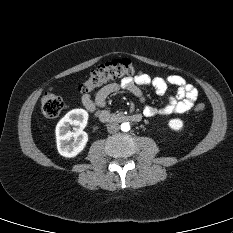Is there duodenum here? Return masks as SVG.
<instances>
[{
  "instance_id": "obj_1",
  "label": "duodenum",
  "mask_w": 233,
  "mask_h": 233,
  "mask_svg": "<svg viewBox=\"0 0 233 233\" xmlns=\"http://www.w3.org/2000/svg\"><path fill=\"white\" fill-rule=\"evenodd\" d=\"M142 119L141 114H129V115H116L110 114L101 116L103 122H140Z\"/></svg>"
}]
</instances>
